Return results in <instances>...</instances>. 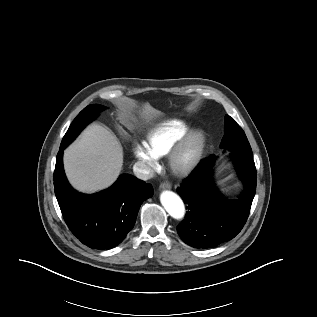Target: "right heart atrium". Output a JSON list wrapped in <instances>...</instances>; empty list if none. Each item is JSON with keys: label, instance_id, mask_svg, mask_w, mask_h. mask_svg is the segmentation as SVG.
I'll use <instances>...</instances> for the list:
<instances>
[{"label": "right heart atrium", "instance_id": "right-heart-atrium-1", "mask_svg": "<svg viewBox=\"0 0 317 317\" xmlns=\"http://www.w3.org/2000/svg\"><path fill=\"white\" fill-rule=\"evenodd\" d=\"M133 154L144 172L148 173L158 166V157L145 145L137 143L133 147Z\"/></svg>", "mask_w": 317, "mask_h": 317}]
</instances>
